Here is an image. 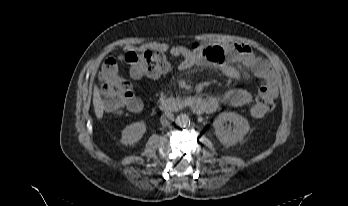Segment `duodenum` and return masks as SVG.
<instances>
[{"label": "duodenum", "instance_id": "1", "mask_svg": "<svg viewBox=\"0 0 348 206\" xmlns=\"http://www.w3.org/2000/svg\"><path fill=\"white\" fill-rule=\"evenodd\" d=\"M213 106L214 101L212 99L197 95H192L185 99L167 98L160 104V108L163 112H176L190 109L197 115L206 114L211 111Z\"/></svg>", "mask_w": 348, "mask_h": 206}]
</instances>
